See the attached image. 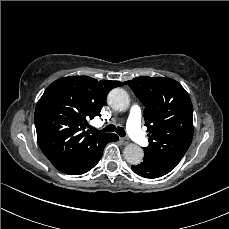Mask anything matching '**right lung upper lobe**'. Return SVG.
I'll return each instance as SVG.
<instances>
[{
	"mask_svg": "<svg viewBox=\"0 0 229 229\" xmlns=\"http://www.w3.org/2000/svg\"><path fill=\"white\" fill-rule=\"evenodd\" d=\"M119 81H97L69 76L54 81L35 109L39 146L59 171L66 173L81 163L106 133L86 131L87 120L99 115L110 90Z\"/></svg>",
	"mask_w": 229,
	"mask_h": 229,
	"instance_id": "1",
	"label": "right lung upper lobe"
}]
</instances>
